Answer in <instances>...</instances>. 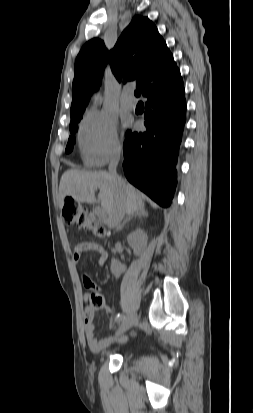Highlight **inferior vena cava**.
<instances>
[{"label": "inferior vena cava", "instance_id": "602c4592", "mask_svg": "<svg viewBox=\"0 0 253 413\" xmlns=\"http://www.w3.org/2000/svg\"><path fill=\"white\" fill-rule=\"evenodd\" d=\"M119 160H120V151H117L112 155L110 159L109 167H108L110 178L116 190L115 207L112 210V212L109 214V220H108L109 228L120 227V223L125 216V194L123 191L121 179L118 177L117 172H116V167L118 165Z\"/></svg>", "mask_w": 253, "mask_h": 413}]
</instances>
